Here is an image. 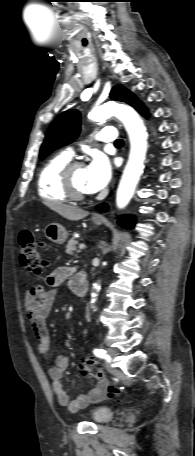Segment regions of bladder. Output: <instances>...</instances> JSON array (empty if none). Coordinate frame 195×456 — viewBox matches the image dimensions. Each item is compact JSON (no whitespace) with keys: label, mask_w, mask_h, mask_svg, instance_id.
<instances>
[{"label":"bladder","mask_w":195,"mask_h":456,"mask_svg":"<svg viewBox=\"0 0 195 456\" xmlns=\"http://www.w3.org/2000/svg\"><path fill=\"white\" fill-rule=\"evenodd\" d=\"M113 418V411L108 407H98L92 412V419L96 424L108 423Z\"/></svg>","instance_id":"31cf9c89"}]
</instances>
